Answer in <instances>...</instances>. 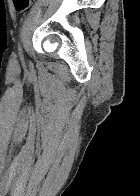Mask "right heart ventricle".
<instances>
[{"label":"right heart ventricle","mask_w":140,"mask_h":196,"mask_svg":"<svg viewBox=\"0 0 140 196\" xmlns=\"http://www.w3.org/2000/svg\"><path fill=\"white\" fill-rule=\"evenodd\" d=\"M27 192H35V191H27Z\"/></svg>","instance_id":"right-heart-ventricle-1"}]
</instances>
